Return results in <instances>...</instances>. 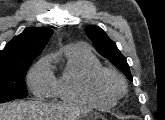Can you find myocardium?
<instances>
[{"label":"myocardium","instance_id":"f54148a6","mask_svg":"<svg viewBox=\"0 0 165 120\" xmlns=\"http://www.w3.org/2000/svg\"><path fill=\"white\" fill-rule=\"evenodd\" d=\"M106 77H111L114 79L117 84V89H110L103 85V80ZM89 86L91 91L98 97L117 100L121 97L126 91V82L123 76L116 71L115 69L108 68V67H100L99 69L95 70L91 77Z\"/></svg>","mask_w":165,"mask_h":120}]
</instances>
